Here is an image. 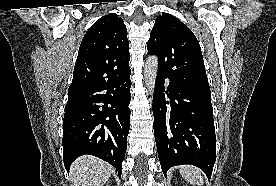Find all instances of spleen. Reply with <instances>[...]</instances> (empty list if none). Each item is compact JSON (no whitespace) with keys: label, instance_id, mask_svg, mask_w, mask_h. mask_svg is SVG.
Wrapping results in <instances>:
<instances>
[{"label":"spleen","instance_id":"3e777b00","mask_svg":"<svg viewBox=\"0 0 276 186\" xmlns=\"http://www.w3.org/2000/svg\"><path fill=\"white\" fill-rule=\"evenodd\" d=\"M180 174L192 185L197 184L198 186L203 185V177L201 171L191 165H183L180 167Z\"/></svg>","mask_w":276,"mask_h":186}]
</instances>
